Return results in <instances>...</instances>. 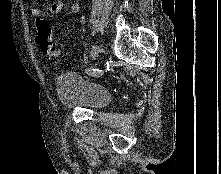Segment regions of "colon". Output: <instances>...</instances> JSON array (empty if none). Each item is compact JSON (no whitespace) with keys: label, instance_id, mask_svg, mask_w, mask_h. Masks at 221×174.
<instances>
[{"label":"colon","instance_id":"obj_1","mask_svg":"<svg viewBox=\"0 0 221 174\" xmlns=\"http://www.w3.org/2000/svg\"><path fill=\"white\" fill-rule=\"evenodd\" d=\"M37 34L36 43L48 58L57 57L60 53L56 50L53 41L52 26L45 19H39L36 22Z\"/></svg>","mask_w":221,"mask_h":174}]
</instances>
